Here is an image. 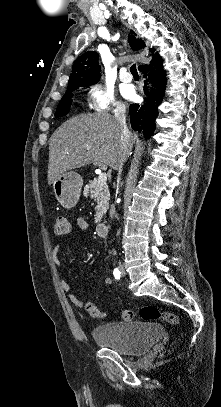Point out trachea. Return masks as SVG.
Masks as SVG:
<instances>
[{
  "mask_svg": "<svg viewBox=\"0 0 221 407\" xmlns=\"http://www.w3.org/2000/svg\"><path fill=\"white\" fill-rule=\"evenodd\" d=\"M130 71L133 75H138L137 69H136V64L132 65L130 68Z\"/></svg>",
  "mask_w": 221,
  "mask_h": 407,
  "instance_id": "trachea-1",
  "label": "trachea"
}]
</instances>
